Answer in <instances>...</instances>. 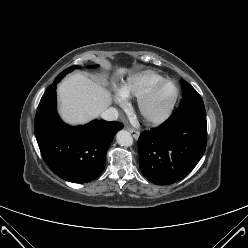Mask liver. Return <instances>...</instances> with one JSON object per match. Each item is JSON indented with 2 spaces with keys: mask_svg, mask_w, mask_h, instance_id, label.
<instances>
[{
  "mask_svg": "<svg viewBox=\"0 0 248 248\" xmlns=\"http://www.w3.org/2000/svg\"><path fill=\"white\" fill-rule=\"evenodd\" d=\"M120 73L125 69H119ZM59 111L70 124H83L99 116L111 104V94L87 76L76 73L59 84Z\"/></svg>",
  "mask_w": 248,
  "mask_h": 248,
  "instance_id": "1",
  "label": "liver"
}]
</instances>
